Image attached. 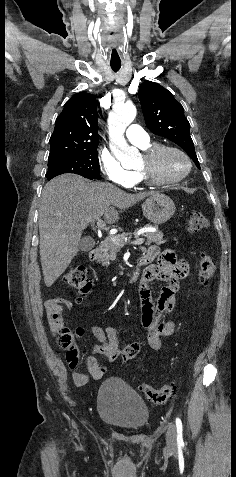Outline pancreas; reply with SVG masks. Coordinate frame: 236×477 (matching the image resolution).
I'll use <instances>...</instances> for the list:
<instances>
[{
  "mask_svg": "<svg viewBox=\"0 0 236 477\" xmlns=\"http://www.w3.org/2000/svg\"><path fill=\"white\" fill-rule=\"evenodd\" d=\"M137 230L134 233H122L117 235L120 239L124 240L127 236L135 235L136 236ZM147 238V245L155 244L161 245L164 244L166 241L163 239V233L160 231L156 232H149L145 234ZM122 248V245H118L114 243L110 238L104 240L99 248V256L98 261L102 262L103 265H109L110 261L115 260L117 253ZM122 274V272H120Z\"/></svg>",
  "mask_w": 236,
  "mask_h": 477,
  "instance_id": "pancreas-1",
  "label": "pancreas"
}]
</instances>
